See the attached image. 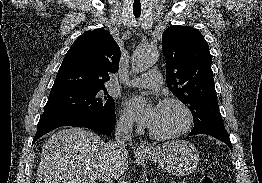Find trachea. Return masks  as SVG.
Masks as SVG:
<instances>
[{"label": "trachea", "mask_w": 262, "mask_h": 183, "mask_svg": "<svg viewBox=\"0 0 262 183\" xmlns=\"http://www.w3.org/2000/svg\"><path fill=\"white\" fill-rule=\"evenodd\" d=\"M133 14L136 18H138L141 14V12H138V11H133Z\"/></svg>", "instance_id": "obj_1"}]
</instances>
